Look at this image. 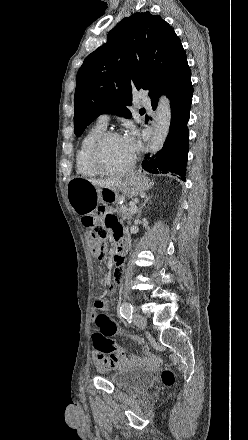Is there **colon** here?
Listing matches in <instances>:
<instances>
[{
	"label": "colon",
	"mask_w": 248,
	"mask_h": 440,
	"mask_svg": "<svg viewBox=\"0 0 248 440\" xmlns=\"http://www.w3.org/2000/svg\"><path fill=\"white\" fill-rule=\"evenodd\" d=\"M103 211L97 210L83 218L85 226L91 228L90 245L93 255L102 259L106 252V232L102 224ZM97 330L93 335L95 349L103 361L112 368L124 365L127 358L123 348L115 343L112 335H124L146 347L144 340L136 334L130 333L118 326L108 315L99 313L96 317ZM162 381L170 386L175 382V375L172 370L165 369L161 373Z\"/></svg>",
	"instance_id": "colon-1"
}]
</instances>
